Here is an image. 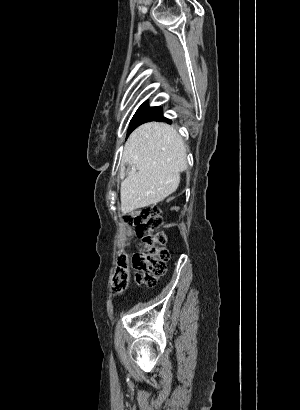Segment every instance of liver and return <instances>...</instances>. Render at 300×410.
Listing matches in <instances>:
<instances>
[{
	"mask_svg": "<svg viewBox=\"0 0 300 410\" xmlns=\"http://www.w3.org/2000/svg\"><path fill=\"white\" fill-rule=\"evenodd\" d=\"M186 147L177 130L166 123L149 122L136 128L128 138L122 159L137 171L121 183V211L155 205L174 193L180 172L187 169Z\"/></svg>",
	"mask_w": 300,
	"mask_h": 410,
	"instance_id": "6515ba94",
	"label": "liver"
}]
</instances>
